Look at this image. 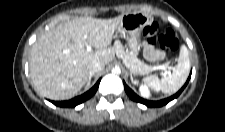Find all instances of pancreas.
<instances>
[{
  "label": "pancreas",
  "instance_id": "cf45deb5",
  "mask_svg": "<svg viewBox=\"0 0 225 132\" xmlns=\"http://www.w3.org/2000/svg\"><path fill=\"white\" fill-rule=\"evenodd\" d=\"M113 49L116 55L123 60L125 66L128 67L131 73L135 75H145L149 73L152 68V66L147 65L138 59L134 53H130L128 50H125L120 41H115Z\"/></svg>",
  "mask_w": 225,
  "mask_h": 132
}]
</instances>
